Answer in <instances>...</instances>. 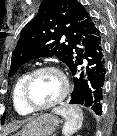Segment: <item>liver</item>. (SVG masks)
I'll return each mask as SVG.
<instances>
[{
  "label": "liver",
  "instance_id": "liver-1",
  "mask_svg": "<svg viewBox=\"0 0 117 136\" xmlns=\"http://www.w3.org/2000/svg\"><path fill=\"white\" fill-rule=\"evenodd\" d=\"M18 127H19L18 123L15 122L10 123L5 129V135L9 134L12 131H15Z\"/></svg>",
  "mask_w": 117,
  "mask_h": 136
}]
</instances>
